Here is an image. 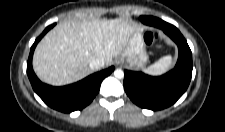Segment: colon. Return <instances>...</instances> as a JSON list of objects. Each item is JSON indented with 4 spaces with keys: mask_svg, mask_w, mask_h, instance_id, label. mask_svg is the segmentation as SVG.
Returning <instances> with one entry per match:
<instances>
[{
    "mask_svg": "<svg viewBox=\"0 0 225 132\" xmlns=\"http://www.w3.org/2000/svg\"><path fill=\"white\" fill-rule=\"evenodd\" d=\"M144 40L148 45H154L158 41V35L156 33L148 31L144 35Z\"/></svg>",
    "mask_w": 225,
    "mask_h": 132,
    "instance_id": "obj_1",
    "label": "colon"
}]
</instances>
